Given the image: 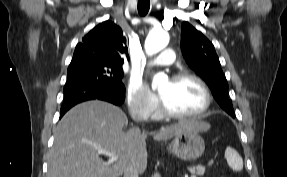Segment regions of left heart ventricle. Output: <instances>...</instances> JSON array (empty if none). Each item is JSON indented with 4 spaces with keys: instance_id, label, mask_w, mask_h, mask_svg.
Returning a JSON list of instances; mask_svg holds the SVG:
<instances>
[{
    "instance_id": "1",
    "label": "left heart ventricle",
    "mask_w": 287,
    "mask_h": 177,
    "mask_svg": "<svg viewBox=\"0 0 287 177\" xmlns=\"http://www.w3.org/2000/svg\"><path fill=\"white\" fill-rule=\"evenodd\" d=\"M159 92L162 101L173 112L195 113L204 104L201 88L191 80L168 81L162 85Z\"/></svg>"
}]
</instances>
